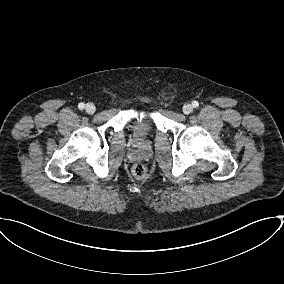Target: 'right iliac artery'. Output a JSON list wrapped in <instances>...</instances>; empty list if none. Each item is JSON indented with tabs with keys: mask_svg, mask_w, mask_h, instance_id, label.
<instances>
[{
	"mask_svg": "<svg viewBox=\"0 0 284 284\" xmlns=\"http://www.w3.org/2000/svg\"><path fill=\"white\" fill-rule=\"evenodd\" d=\"M84 107H85V104H84V103H79V104H78V108H79L80 110L84 109Z\"/></svg>",
	"mask_w": 284,
	"mask_h": 284,
	"instance_id": "1",
	"label": "right iliac artery"
}]
</instances>
